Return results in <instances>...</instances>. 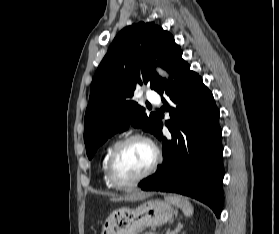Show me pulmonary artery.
Wrapping results in <instances>:
<instances>
[{"mask_svg":"<svg viewBox=\"0 0 279 234\" xmlns=\"http://www.w3.org/2000/svg\"><path fill=\"white\" fill-rule=\"evenodd\" d=\"M146 98L154 103H159V95L154 93H147Z\"/></svg>","mask_w":279,"mask_h":234,"instance_id":"e3ab8cb5","label":"pulmonary artery"}]
</instances>
